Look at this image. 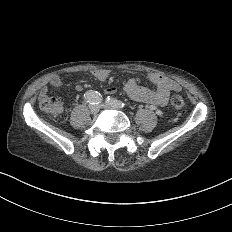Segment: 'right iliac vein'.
I'll return each mask as SVG.
<instances>
[{
    "instance_id": "right-iliac-vein-1",
    "label": "right iliac vein",
    "mask_w": 232,
    "mask_h": 232,
    "mask_svg": "<svg viewBox=\"0 0 232 232\" xmlns=\"http://www.w3.org/2000/svg\"><path fill=\"white\" fill-rule=\"evenodd\" d=\"M89 110L93 113V114H96L99 112L100 110V107L97 105V104H91L89 106Z\"/></svg>"
}]
</instances>
